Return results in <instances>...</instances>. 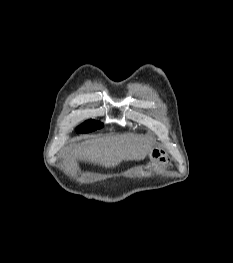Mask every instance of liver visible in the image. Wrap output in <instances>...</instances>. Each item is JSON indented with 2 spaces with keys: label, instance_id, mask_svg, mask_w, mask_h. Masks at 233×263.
<instances>
[{
  "label": "liver",
  "instance_id": "1",
  "mask_svg": "<svg viewBox=\"0 0 233 263\" xmlns=\"http://www.w3.org/2000/svg\"><path fill=\"white\" fill-rule=\"evenodd\" d=\"M151 151L152 143L147 138L124 134L86 140L79 146L77 155L80 160L109 168L123 160H142Z\"/></svg>",
  "mask_w": 233,
  "mask_h": 263
}]
</instances>
